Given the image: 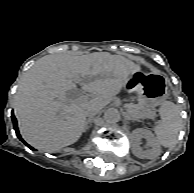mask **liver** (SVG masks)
Listing matches in <instances>:
<instances>
[{
    "label": "liver",
    "mask_w": 194,
    "mask_h": 193,
    "mask_svg": "<svg viewBox=\"0 0 194 193\" xmlns=\"http://www.w3.org/2000/svg\"><path fill=\"white\" fill-rule=\"evenodd\" d=\"M139 65L121 55H46L24 73L14 99L23 139L49 153L75 143L86 128L87 111L101 110L114 100ZM80 83L93 98L67 97Z\"/></svg>",
    "instance_id": "6515ba94"
}]
</instances>
